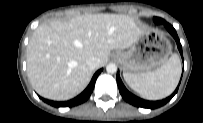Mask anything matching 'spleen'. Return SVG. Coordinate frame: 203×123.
<instances>
[{"label":"spleen","instance_id":"spleen-1","mask_svg":"<svg viewBox=\"0 0 203 123\" xmlns=\"http://www.w3.org/2000/svg\"><path fill=\"white\" fill-rule=\"evenodd\" d=\"M181 75V61L173 54L167 62L152 72L123 73L131 89L148 100H159L169 96L176 88Z\"/></svg>","mask_w":203,"mask_h":123}]
</instances>
